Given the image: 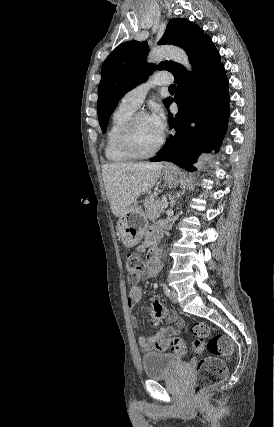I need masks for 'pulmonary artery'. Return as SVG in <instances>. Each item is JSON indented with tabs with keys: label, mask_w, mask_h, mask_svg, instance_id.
Listing matches in <instances>:
<instances>
[{
	"label": "pulmonary artery",
	"mask_w": 274,
	"mask_h": 427,
	"mask_svg": "<svg viewBox=\"0 0 274 427\" xmlns=\"http://www.w3.org/2000/svg\"><path fill=\"white\" fill-rule=\"evenodd\" d=\"M173 83V78L168 76H161L160 78L155 74L151 76L146 82L139 84L134 89L129 91L121 100L120 105L132 110H138L147 93L151 88L159 85H168Z\"/></svg>",
	"instance_id": "pulmonary-artery-1"
}]
</instances>
